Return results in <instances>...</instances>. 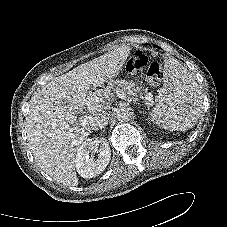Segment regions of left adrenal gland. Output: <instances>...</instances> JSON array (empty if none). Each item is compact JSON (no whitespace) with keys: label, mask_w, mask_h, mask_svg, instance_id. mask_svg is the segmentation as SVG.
<instances>
[{"label":"left adrenal gland","mask_w":227,"mask_h":227,"mask_svg":"<svg viewBox=\"0 0 227 227\" xmlns=\"http://www.w3.org/2000/svg\"><path fill=\"white\" fill-rule=\"evenodd\" d=\"M137 98H131L129 101H133L134 104H137Z\"/></svg>","instance_id":"a2214340"}]
</instances>
